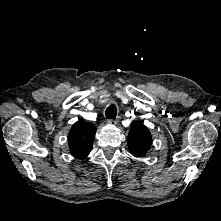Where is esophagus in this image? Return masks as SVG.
I'll list each match as a JSON object with an SVG mask.
<instances>
[{
    "mask_svg": "<svg viewBox=\"0 0 221 221\" xmlns=\"http://www.w3.org/2000/svg\"><path fill=\"white\" fill-rule=\"evenodd\" d=\"M118 122H119V121H118L117 119H110V120L108 121V123L111 124V125H117Z\"/></svg>",
    "mask_w": 221,
    "mask_h": 221,
    "instance_id": "1",
    "label": "esophagus"
}]
</instances>
